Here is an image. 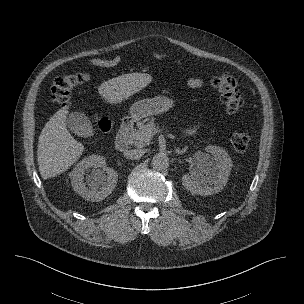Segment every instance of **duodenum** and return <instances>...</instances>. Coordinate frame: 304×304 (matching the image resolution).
Wrapping results in <instances>:
<instances>
[{
	"mask_svg": "<svg viewBox=\"0 0 304 304\" xmlns=\"http://www.w3.org/2000/svg\"><path fill=\"white\" fill-rule=\"evenodd\" d=\"M133 119H124L117 131L115 146L119 151H125L128 148V135L133 127Z\"/></svg>",
	"mask_w": 304,
	"mask_h": 304,
	"instance_id": "duodenum-1",
	"label": "duodenum"
}]
</instances>
